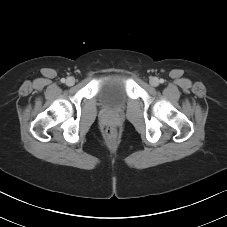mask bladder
Returning a JSON list of instances; mask_svg holds the SVG:
<instances>
[{
    "mask_svg": "<svg viewBox=\"0 0 227 227\" xmlns=\"http://www.w3.org/2000/svg\"><path fill=\"white\" fill-rule=\"evenodd\" d=\"M99 103L110 110L124 107L128 100V84L123 74L110 73L102 76L97 84Z\"/></svg>",
    "mask_w": 227,
    "mask_h": 227,
    "instance_id": "31cf9c89",
    "label": "bladder"
}]
</instances>
